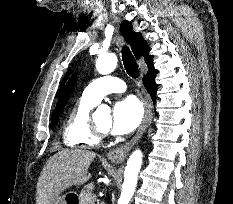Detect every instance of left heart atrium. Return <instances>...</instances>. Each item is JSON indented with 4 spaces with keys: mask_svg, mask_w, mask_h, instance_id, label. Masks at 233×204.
<instances>
[{
    "mask_svg": "<svg viewBox=\"0 0 233 204\" xmlns=\"http://www.w3.org/2000/svg\"><path fill=\"white\" fill-rule=\"evenodd\" d=\"M143 117V107L134 97L118 100L113 107L110 130L115 135H124L134 131Z\"/></svg>",
    "mask_w": 233,
    "mask_h": 204,
    "instance_id": "39dd6f15",
    "label": "left heart atrium"
}]
</instances>
